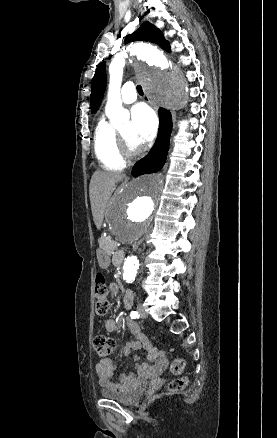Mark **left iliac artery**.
<instances>
[{
  "instance_id": "obj_1",
  "label": "left iliac artery",
  "mask_w": 277,
  "mask_h": 438,
  "mask_svg": "<svg viewBox=\"0 0 277 438\" xmlns=\"http://www.w3.org/2000/svg\"><path fill=\"white\" fill-rule=\"evenodd\" d=\"M130 317L133 318V319H135V318H139V314H138L137 311H132V312L130 313Z\"/></svg>"
}]
</instances>
